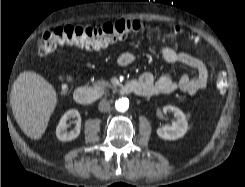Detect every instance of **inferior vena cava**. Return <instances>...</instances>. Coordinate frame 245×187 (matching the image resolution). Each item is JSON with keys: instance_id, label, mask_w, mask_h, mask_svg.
<instances>
[{"instance_id": "1", "label": "inferior vena cava", "mask_w": 245, "mask_h": 187, "mask_svg": "<svg viewBox=\"0 0 245 187\" xmlns=\"http://www.w3.org/2000/svg\"><path fill=\"white\" fill-rule=\"evenodd\" d=\"M98 109L100 112H107L110 110V103L106 100L100 101Z\"/></svg>"}]
</instances>
